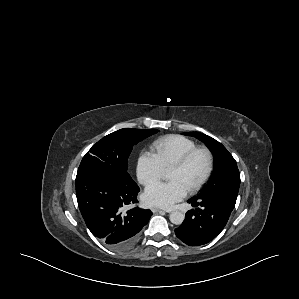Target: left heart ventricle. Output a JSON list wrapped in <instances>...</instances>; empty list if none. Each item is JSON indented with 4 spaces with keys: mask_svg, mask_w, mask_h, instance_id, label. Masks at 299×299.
<instances>
[{
    "mask_svg": "<svg viewBox=\"0 0 299 299\" xmlns=\"http://www.w3.org/2000/svg\"><path fill=\"white\" fill-rule=\"evenodd\" d=\"M207 169V157L205 153H197L187 164L180 170H171L168 172L170 181H178L187 190L193 187L204 175Z\"/></svg>",
    "mask_w": 299,
    "mask_h": 299,
    "instance_id": "b2bd125f",
    "label": "left heart ventricle"
}]
</instances>
